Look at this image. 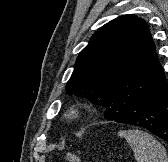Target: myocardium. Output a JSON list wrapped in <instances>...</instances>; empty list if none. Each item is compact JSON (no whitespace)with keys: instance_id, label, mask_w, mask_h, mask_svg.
Returning a JSON list of instances; mask_svg holds the SVG:
<instances>
[{"instance_id":"1","label":"myocardium","mask_w":168,"mask_h":162,"mask_svg":"<svg viewBox=\"0 0 168 162\" xmlns=\"http://www.w3.org/2000/svg\"><path fill=\"white\" fill-rule=\"evenodd\" d=\"M83 113L81 109L77 106H73L69 108V110L66 113V117L71 121L79 120L82 117Z\"/></svg>"}]
</instances>
